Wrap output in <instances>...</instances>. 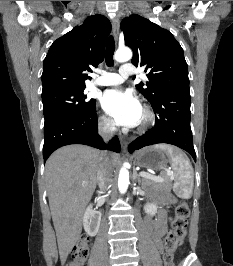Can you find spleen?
Returning <instances> with one entry per match:
<instances>
[{"label": "spleen", "mask_w": 233, "mask_h": 266, "mask_svg": "<svg viewBox=\"0 0 233 266\" xmlns=\"http://www.w3.org/2000/svg\"><path fill=\"white\" fill-rule=\"evenodd\" d=\"M154 147L166 151L170 157L174 179L173 189L176 195L186 199L190 198L194 185V172L188 157L172 145L157 144Z\"/></svg>", "instance_id": "1"}]
</instances>
